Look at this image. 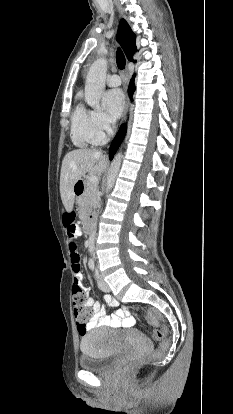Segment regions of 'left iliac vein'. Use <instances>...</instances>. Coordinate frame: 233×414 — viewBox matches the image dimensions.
Here are the masks:
<instances>
[{
  "label": "left iliac vein",
  "mask_w": 233,
  "mask_h": 414,
  "mask_svg": "<svg viewBox=\"0 0 233 414\" xmlns=\"http://www.w3.org/2000/svg\"><path fill=\"white\" fill-rule=\"evenodd\" d=\"M98 286L103 292H109L110 291V288H109L108 284L104 281V279L102 277H100L99 280H98Z\"/></svg>",
  "instance_id": "left-iliac-vein-1"
}]
</instances>
